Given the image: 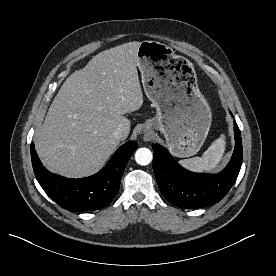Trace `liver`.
<instances>
[{"label": "liver", "instance_id": "6515ba94", "mask_svg": "<svg viewBox=\"0 0 276 276\" xmlns=\"http://www.w3.org/2000/svg\"><path fill=\"white\" fill-rule=\"evenodd\" d=\"M140 42L94 56L63 83L38 129L35 148L52 173L80 179L97 173L116 149L114 130L143 104L136 68Z\"/></svg>", "mask_w": 276, "mask_h": 276}]
</instances>
